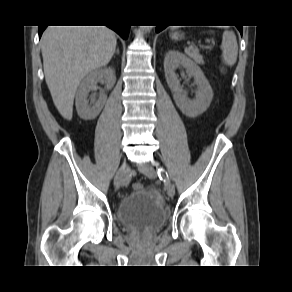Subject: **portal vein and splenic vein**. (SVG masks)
<instances>
[{
	"instance_id": "1",
	"label": "portal vein and splenic vein",
	"mask_w": 292,
	"mask_h": 292,
	"mask_svg": "<svg viewBox=\"0 0 292 292\" xmlns=\"http://www.w3.org/2000/svg\"><path fill=\"white\" fill-rule=\"evenodd\" d=\"M189 49H194V48L191 46V47L185 49V52H187Z\"/></svg>"
}]
</instances>
